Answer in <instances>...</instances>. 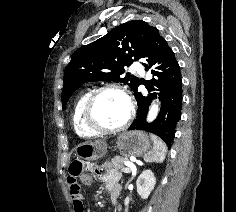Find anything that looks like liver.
<instances>
[{
	"label": "liver",
	"instance_id": "6515ba94",
	"mask_svg": "<svg viewBox=\"0 0 236 212\" xmlns=\"http://www.w3.org/2000/svg\"><path fill=\"white\" fill-rule=\"evenodd\" d=\"M92 143H95V144H102V143H105V142L98 140V141H95V142H92Z\"/></svg>",
	"mask_w": 236,
	"mask_h": 212
}]
</instances>
